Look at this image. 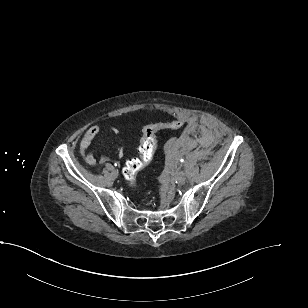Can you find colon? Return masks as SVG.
<instances>
[{
	"label": "colon",
	"mask_w": 308,
	"mask_h": 308,
	"mask_svg": "<svg viewBox=\"0 0 308 308\" xmlns=\"http://www.w3.org/2000/svg\"><path fill=\"white\" fill-rule=\"evenodd\" d=\"M183 125L181 119H173L165 123L152 124L144 128L139 146V157L129 160L124 169V177L130 183L135 181L137 173L152 160L157 147V134L165 129H177Z\"/></svg>",
	"instance_id": "1"
}]
</instances>
